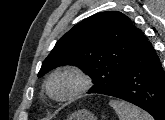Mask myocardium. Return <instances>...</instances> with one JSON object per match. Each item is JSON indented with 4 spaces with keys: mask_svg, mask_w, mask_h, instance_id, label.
<instances>
[{
    "mask_svg": "<svg viewBox=\"0 0 165 120\" xmlns=\"http://www.w3.org/2000/svg\"><path fill=\"white\" fill-rule=\"evenodd\" d=\"M63 75L71 76L74 79L75 85L73 89L64 96H56L52 90L53 81ZM89 76L80 68L72 65H66L55 69L48 77L46 82V91L48 95L56 101L65 102L69 101L80 94L84 93L90 87Z\"/></svg>",
    "mask_w": 165,
    "mask_h": 120,
    "instance_id": "obj_1",
    "label": "myocardium"
}]
</instances>
